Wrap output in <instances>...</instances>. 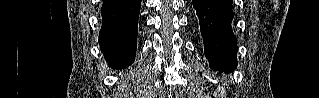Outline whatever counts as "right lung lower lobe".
Instances as JSON below:
<instances>
[{
  "mask_svg": "<svg viewBox=\"0 0 319 98\" xmlns=\"http://www.w3.org/2000/svg\"><path fill=\"white\" fill-rule=\"evenodd\" d=\"M141 0H104L100 49L112 69L127 68L135 59Z\"/></svg>",
  "mask_w": 319,
  "mask_h": 98,
  "instance_id": "obj_1",
  "label": "right lung lower lobe"
}]
</instances>
